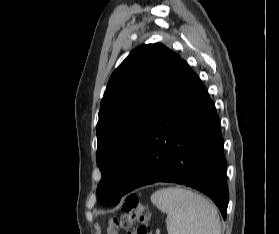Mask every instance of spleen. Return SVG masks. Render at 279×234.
<instances>
[{"label":"spleen","instance_id":"obj_1","mask_svg":"<svg viewBox=\"0 0 279 234\" xmlns=\"http://www.w3.org/2000/svg\"><path fill=\"white\" fill-rule=\"evenodd\" d=\"M151 201L167 214L168 234H221L215 206L196 192L168 187L153 193Z\"/></svg>","mask_w":279,"mask_h":234}]
</instances>
